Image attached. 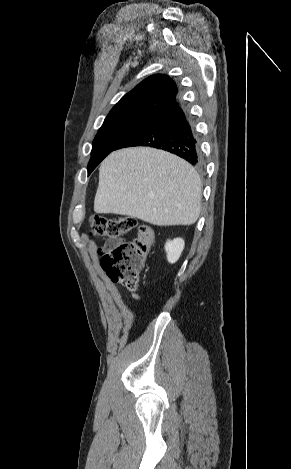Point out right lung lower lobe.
Wrapping results in <instances>:
<instances>
[{
    "label": "right lung lower lobe",
    "instance_id": "right-lung-lower-lobe-1",
    "mask_svg": "<svg viewBox=\"0 0 291 469\" xmlns=\"http://www.w3.org/2000/svg\"><path fill=\"white\" fill-rule=\"evenodd\" d=\"M150 146L185 159L195 167L202 166L197 133L188 111L178 100L149 117L115 148Z\"/></svg>",
    "mask_w": 291,
    "mask_h": 469
}]
</instances>
